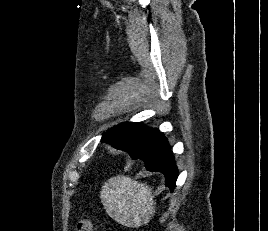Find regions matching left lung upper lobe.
<instances>
[{"instance_id": "5c2ea615", "label": "left lung upper lobe", "mask_w": 268, "mask_h": 231, "mask_svg": "<svg viewBox=\"0 0 268 231\" xmlns=\"http://www.w3.org/2000/svg\"><path fill=\"white\" fill-rule=\"evenodd\" d=\"M157 133L156 129L144 126L141 123H122L103 136L104 140L113 147L125 150L130 146H141L148 142Z\"/></svg>"}]
</instances>
